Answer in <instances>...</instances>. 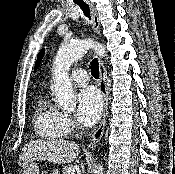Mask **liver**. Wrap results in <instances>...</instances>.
Wrapping results in <instances>:
<instances>
[{
    "label": "liver",
    "instance_id": "6515ba94",
    "mask_svg": "<svg viewBox=\"0 0 175 174\" xmlns=\"http://www.w3.org/2000/svg\"><path fill=\"white\" fill-rule=\"evenodd\" d=\"M79 152V145L70 141H30L22 148L19 164L25 165L36 160H47L53 163L66 164L73 162L79 155Z\"/></svg>",
    "mask_w": 175,
    "mask_h": 174
}]
</instances>
